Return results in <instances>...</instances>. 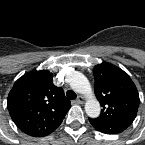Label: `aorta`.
Here are the masks:
<instances>
[{
	"mask_svg": "<svg viewBox=\"0 0 145 145\" xmlns=\"http://www.w3.org/2000/svg\"><path fill=\"white\" fill-rule=\"evenodd\" d=\"M70 87L85 95L88 99L85 103L86 114L91 118L99 116L101 108L98 100L95 98L89 80L80 72H74L70 78Z\"/></svg>",
	"mask_w": 145,
	"mask_h": 145,
	"instance_id": "1",
	"label": "aorta"
}]
</instances>
